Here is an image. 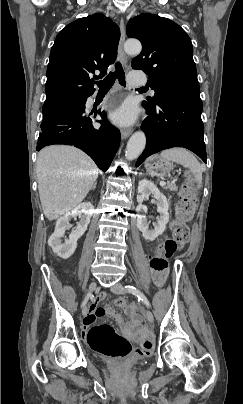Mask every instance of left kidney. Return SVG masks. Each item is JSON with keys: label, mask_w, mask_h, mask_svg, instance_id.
Masks as SVG:
<instances>
[{"label": "left kidney", "mask_w": 243, "mask_h": 404, "mask_svg": "<svg viewBox=\"0 0 243 404\" xmlns=\"http://www.w3.org/2000/svg\"><path fill=\"white\" fill-rule=\"evenodd\" d=\"M150 194H152L155 200H157V210L160 214L159 220L156 226H154V230H149L147 218L145 216L147 208L142 204L145 198H148ZM137 202V228L140 230V232H142V236L145 238V240H150V242H153L157 236H161V234H163L166 224L169 222V204L166 200V196L159 192L158 188L154 186L153 182H149V180H141L138 186ZM140 212H142V214H140Z\"/></svg>", "instance_id": "5707ae66"}]
</instances>
